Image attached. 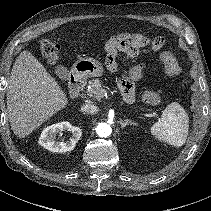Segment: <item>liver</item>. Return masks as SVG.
I'll list each match as a JSON object with an SVG mask.
<instances>
[{
    "instance_id": "1",
    "label": "liver",
    "mask_w": 211,
    "mask_h": 211,
    "mask_svg": "<svg viewBox=\"0 0 211 211\" xmlns=\"http://www.w3.org/2000/svg\"><path fill=\"white\" fill-rule=\"evenodd\" d=\"M67 104V95L55 78L31 52L22 51L7 87V117L14 134L28 136Z\"/></svg>"
}]
</instances>
